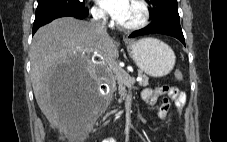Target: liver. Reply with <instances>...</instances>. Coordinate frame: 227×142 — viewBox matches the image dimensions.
Instances as JSON below:
<instances>
[{
	"label": "liver",
	"instance_id": "liver-1",
	"mask_svg": "<svg viewBox=\"0 0 227 142\" xmlns=\"http://www.w3.org/2000/svg\"><path fill=\"white\" fill-rule=\"evenodd\" d=\"M130 43L133 40H125ZM31 81L36 101L50 124L67 134L81 117L82 100L106 79L118 58V46L108 34H98L89 22L64 17L39 28L30 46ZM99 57L101 61L94 62ZM88 61L83 88H56L57 65Z\"/></svg>",
	"mask_w": 227,
	"mask_h": 142
}]
</instances>
